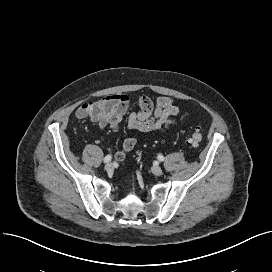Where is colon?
I'll return each instance as SVG.
<instances>
[{"label":"colon","mask_w":272,"mask_h":272,"mask_svg":"<svg viewBox=\"0 0 272 272\" xmlns=\"http://www.w3.org/2000/svg\"><path fill=\"white\" fill-rule=\"evenodd\" d=\"M102 123H105V121H103ZM201 141H202V134L198 130L193 132L190 138L188 139V143L193 146L200 144Z\"/></svg>","instance_id":"1"}]
</instances>
